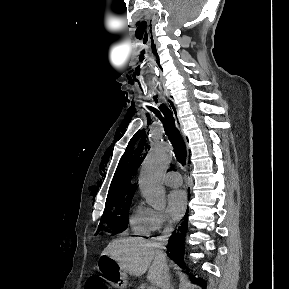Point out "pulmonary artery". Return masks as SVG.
Here are the masks:
<instances>
[{
	"mask_svg": "<svg viewBox=\"0 0 289 289\" xmlns=\"http://www.w3.org/2000/svg\"><path fill=\"white\" fill-rule=\"evenodd\" d=\"M163 181L170 187H178L182 184L181 175L176 171L167 172L163 177Z\"/></svg>",
	"mask_w": 289,
	"mask_h": 289,
	"instance_id": "1",
	"label": "pulmonary artery"
}]
</instances>
